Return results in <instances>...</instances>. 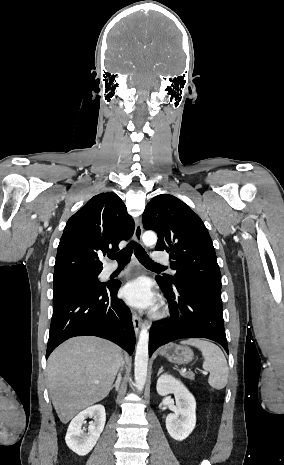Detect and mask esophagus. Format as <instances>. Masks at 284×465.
<instances>
[{"instance_id": "esophagus-1", "label": "esophagus", "mask_w": 284, "mask_h": 465, "mask_svg": "<svg viewBox=\"0 0 284 465\" xmlns=\"http://www.w3.org/2000/svg\"><path fill=\"white\" fill-rule=\"evenodd\" d=\"M142 234H143V226H142L141 220L138 219L136 221L134 235H133V239L136 243H141ZM134 260H135V257H134ZM132 321H133L135 333L137 335L141 328V318L136 312H133L132 314Z\"/></svg>"}]
</instances>
